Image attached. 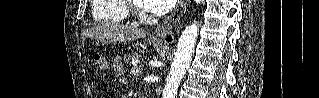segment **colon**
<instances>
[{
    "mask_svg": "<svg viewBox=\"0 0 319 98\" xmlns=\"http://www.w3.org/2000/svg\"><path fill=\"white\" fill-rule=\"evenodd\" d=\"M93 57H94V61H95L98 68L104 69L107 67V62L102 54L95 53Z\"/></svg>",
    "mask_w": 319,
    "mask_h": 98,
    "instance_id": "1",
    "label": "colon"
}]
</instances>
